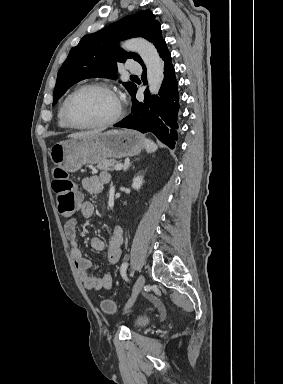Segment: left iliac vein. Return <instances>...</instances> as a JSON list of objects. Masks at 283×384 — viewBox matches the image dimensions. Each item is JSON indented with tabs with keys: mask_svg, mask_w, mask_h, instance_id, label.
Listing matches in <instances>:
<instances>
[{
	"mask_svg": "<svg viewBox=\"0 0 283 384\" xmlns=\"http://www.w3.org/2000/svg\"><path fill=\"white\" fill-rule=\"evenodd\" d=\"M144 283H145V278L142 274H140L136 280V283L133 288V295L126 306V309L130 308L133 305L137 295L142 290Z\"/></svg>",
	"mask_w": 283,
	"mask_h": 384,
	"instance_id": "4c4485c4",
	"label": "left iliac vein"
}]
</instances>
